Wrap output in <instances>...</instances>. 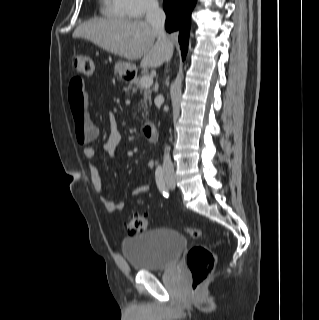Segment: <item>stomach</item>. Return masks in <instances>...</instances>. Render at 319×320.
<instances>
[{"instance_id": "1", "label": "stomach", "mask_w": 319, "mask_h": 320, "mask_svg": "<svg viewBox=\"0 0 319 320\" xmlns=\"http://www.w3.org/2000/svg\"><path fill=\"white\" fill-rule=\"evenodd\" d=\"M134 71V66L130 62L118 61L114 65V73L121 79L130 76Z\"/></svg>"}]
</instances>
